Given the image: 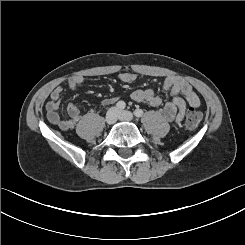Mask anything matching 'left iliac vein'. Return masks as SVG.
<instances>
[{
    "label": "left iliac vein",
    "mask_w": 245,
    "mask_h": 245,
    "mask_svg": "<svg viewBox=\"0 0 245 245\" xmlns=\"http://www.w3.org/2000/svg\"><path fill=\"white\" fill-rule=\"evenodd\" d=\"M134 118L133 114L129 111L118 112V119L121 121H132Z\"/></svg>",
    "instance_id": "4c4485c4"
}]
</instances>
